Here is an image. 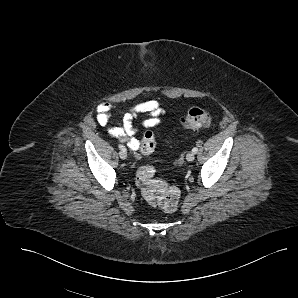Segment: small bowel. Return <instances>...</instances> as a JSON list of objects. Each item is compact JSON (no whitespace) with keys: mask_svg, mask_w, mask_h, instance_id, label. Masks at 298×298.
Wrapping results in <instances>:
<instances>
[{"mask_svg":"<svg viewBox=\"0 0 298 298\" xmlns=\"http://www.w3.org/2000/svg\"><path fill=\"white\" fill-rule=\"evenodd\" d=\"M115 110V107L110 103H101L97 107V122L101 126L108 124L111 113ZM166 113L161 103L157 100H148L136 104L132 108L120 111L122 116V122L118 126L109 128L108 133L113 138L120 142H125L132 150H138L140 142L134 137L136 128L134 127V120L139 115H147V118L143 121L142 125L145 128H153L160 124L161 116Z\"/></svg>","mask_w":298,"mask_h":298,"instance_id":"small-bowel-1","label":"small bowel"}]
</instances>
